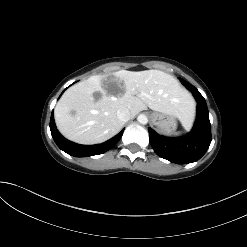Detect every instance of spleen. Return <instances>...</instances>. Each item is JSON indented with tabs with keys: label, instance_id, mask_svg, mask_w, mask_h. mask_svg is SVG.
I'll use <instances>...</instances> for the list:
<instances>
[{
	"label": "spleen",
	"instance_id": "3e777b00",
	"mask_svg": "<svg viewBox=\"0 0 247 247\" xmlns=\"http://www.w3.org/2000/svg\"><path fill=\"white\" fill-rule=\"evenodd\" d=\"M179 134H180V132H176V133H174V135H175V136H177V135H179Z\"/></svg>",
	"mask_w": 247,
	"mask_h": 247
}]
</instances>
